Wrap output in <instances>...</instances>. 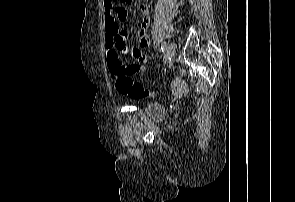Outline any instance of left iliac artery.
Wrapping results in <instances>:
<instances>
[{"label": "left iliac artery", "mask_w": 295, "mask_h": 202, "mask_svg": "<svg viewBox=\"0 0 295 202\" xmlns=\"http://www.w3.org/2000/svg\"><path fill=\"white\" fill-rule=\"evenodd\" d=\"M161 50H162V52H164V53L167 51V46H166L165 43H162V45H161Z\"/></svg>", "instance_id": "1"}]
</instances>
